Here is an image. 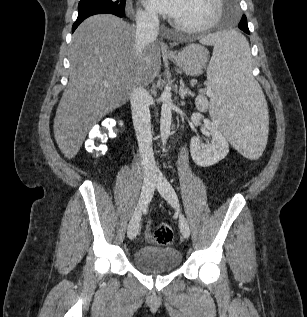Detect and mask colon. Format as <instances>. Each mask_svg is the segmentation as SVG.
I'll use <instances>...</instances> for the list:
<instances>
[{
    "label": "colon",
    "mask_w": 307,
    "mask_h": 317,
    "mask_svg": "<svg viewBox=\"0 0 307 317\" xmlns=\"http://www.w3.org/2000/svg\"><path fill=\"white\" fill-rule=\"evenodd\" d=\"M119 130V123L115 119H106L92 126L88 132L85 148L94 157L102 156L107 151V141L115 137ZM154 241L161 246L170 245L173 242V230L167 224L158 225L153 233Z\"/></svg>",
    "instance_id": "obj_1"
}]
</instances>
